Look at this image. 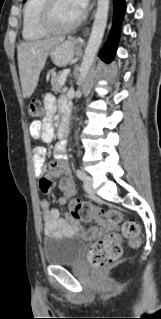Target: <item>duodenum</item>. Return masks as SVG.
<instances>
[{
    "instance_id": "obj_1",
    "label": "duodenum",
    "mask_w": 161,
    "mask_h": 319,
    "mask_svg": "<svg viewBox=\"0 0 161 319\" xmlns=\"http://www.w3.org/2000/svg\"><path fill=\"white\" fill-rule=\"evenodd\" d=\"M68 133H69V123L67 118H65L59 127L58 134L60 137L64 138V137H67Z\"/></svg>"
}]
</instances>
